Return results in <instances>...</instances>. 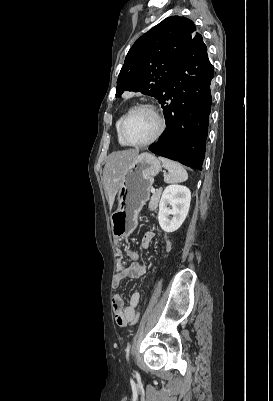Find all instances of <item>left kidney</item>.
Returning <instances> with one entry per match:
<instances>
[{"label":"left kidney","mask_w":273,"mask_h":401,"mask_svg":"<svg viewBox=\"0 0 273 401\" xmlns=\"http://www.w3.org/2000/svg\"><path fill=\"white\" fill-rule=\"evenodd\" d=\"M191 201V192L187 186L169 184L162 192L159 203L158 221L162 231L174 233L184 223ZM171 205L172 209L168 207ZM173 215V217H169Z\"/></svg>","instance_id":"obj_1"}]
</instances>
